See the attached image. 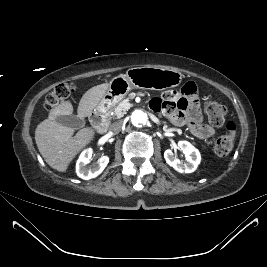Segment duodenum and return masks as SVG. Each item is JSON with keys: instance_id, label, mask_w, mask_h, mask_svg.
<instances>
[{"instance_id": "obj_1", "label": "duodenum", "mask_w": 267, "mask_h": 267, "mask_svg": "<svg viewBox=\"0 0 267 267\" xmlns=\"http://www.w3.org/2000/svg\"><path fill=\"white\" fill-rule=\"evenodd\" d=\"M90 121L92 126L99 132H105L108 128L106 113L102 109L95 110L90 115Z\"/></svg>"}]
</instances>
